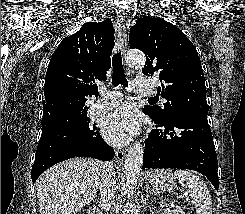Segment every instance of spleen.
<instances>
[{
  "label": "spleen",
  "mask_w": 245,
  "mask_h": 214,
  "mask_svg": "<svg viewBox=\"0 0 245 214\" xmlns=\"http://www.w3.org/2000/svg\"><path fill=\"white\" fill-rule=\"evenodd\" d=\"M174 175L187 189L193 200L197 214H213L212 200L204 181L195 173L187 170H176Z\"/></svg>",
  "instance_id": "obj_1"
}]
</instances>
